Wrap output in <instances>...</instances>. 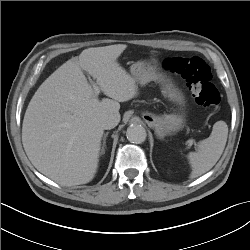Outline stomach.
I'll return each instance as SVG.
<instances>
[{"label": "stomach", "instance_id": "1", "mask_svg": "<svg viewBox=\"0 0 250 250\" xmlns=\"http://www.w3.org/2000/svg\"><path fill=\"white\" fill-rule=\"evenodd\" d=\"M157 66L158 62L153 57L148 60L138 61L131 66V75L136 83L140 85H145L150 81L160 82L162 84V94L181 108L184 107L185 97L183 93L174 85L164 80L163 76L158 72ZM143 116L159 138H163L172 132L179 131L184 127L186 121L183 111L161 116L150 112H144Z\"/></svg>", "mask_w": 250, "mask_h": 250}]
</instances>
